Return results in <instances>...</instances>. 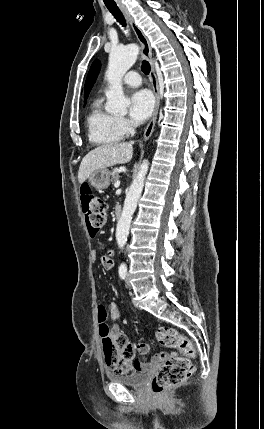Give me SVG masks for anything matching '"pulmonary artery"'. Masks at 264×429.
Wrapping results in <instances>:
<instances>
[{"label": "pulmonary artery", "instance_id": "obj_1", "mask_svg": "<svg viewBox=\"0 0 264 429\" xmlns=\"http://www.w3.org/2000/svg\"><path fill=\"white\" fill-rule=\"evenodd\" d=\"M123 83L127 86L137 87L141 84V77L136 71H130L124 76Z\"/></svg>", "mask_w": 264, "mask_h": 429}]
</instances>
